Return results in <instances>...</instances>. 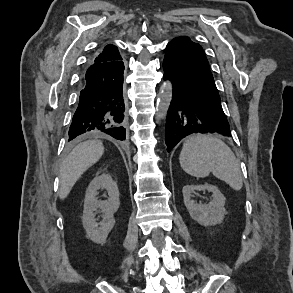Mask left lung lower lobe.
Wrapping results in <instances>:
<instances>
[{"label": "left lung lower lobe", "instance_id": "left-lung-lower-lobe-1", "mask_svg": "<svg viewBox=\"0 0 293 293\" xmlns=\"http://www.w3.org/2000/svg\"><path fill=\"white\" fill-rule=\"evenodd\" d=\"M163 68L164 79H169L173 87L166 119L167 151L192 133L231 136L218 90L190 67L178 42L168 43Z\"/></svg>", "mask_w": 293, "mask_h": 293}]
</instances>
